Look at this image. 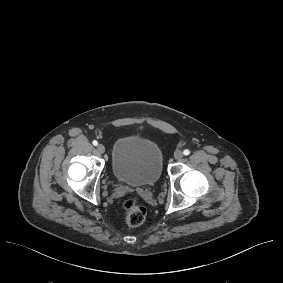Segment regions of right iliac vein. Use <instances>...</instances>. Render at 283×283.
Returning a JSON list of instances; mask_svg holds the SVG:
<instances>
[{"instance_id":"right-iliac-vein-1","label":"right iliac vein","mask_w":283,"mask_h":283,"mask_svg":"<svg viewBox=\"0 0 283 283\" xmlns=\"http://www.w3.org/2000/svg\"><path fill=\"white\" fill-rule=\"evenodd\" d=\"M97 151L99 152V153H104L105 152V147H104V145L103 144H98L97 145Z\"/></svg>"}]
</instances>
